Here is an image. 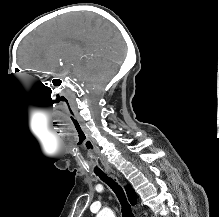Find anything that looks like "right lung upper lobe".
<instances>
[{
    "mask_svg": "<svg viewBox=\"0 0 219 217\" xmlns=\"http://www.w3.org/2000/svg\"><path fill=\"white\" fill-rule=\"evenodd\" d=\"M128 199L132 205L136 203V193L130 185L125 187Z\"/></svg>",
    "mask_w": 219,
    "mask_h": 217,
    "instance_id": "cb5924a9",
    "label": "right lung upper lobe"
}]
</instances>
